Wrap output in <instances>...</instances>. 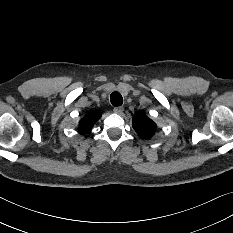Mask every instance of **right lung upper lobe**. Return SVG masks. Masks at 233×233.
Segmentation results:
<instances>
[{"label":"right lung upper lobe","instance_id":"1","mask_svg":"<svg viewBox=\"0 0 233 233\" xmlns=\"http://www.w3.org/2000/svg\"><path fill=\"white\" fill-rule=\"evenodd\" d=\"M101 117V113L98 111H91L87 113L84 118L80 121V127L84 131H89L96 123V121Z\"/></svg>","mask_w":233,"mask_h":233}]
</instances>
